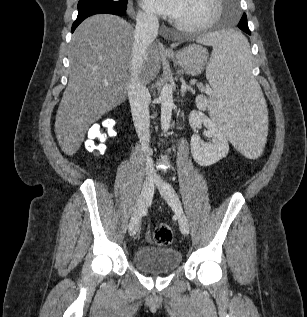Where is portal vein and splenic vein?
<instances>
[{"label": "portal vein and splenic vein", "mask_w": 307, "mask_h": 317, "mask_svg": "<svg viewBox=\"0 0 307 317\" xmlns=\"http://www.w3.org/2000/svg\"><path fill=\"white\" fill-rule=\"evenodd\" d=\"M105 85H107V84H105ZM204 90H205V93H207L209 95L212 94V90L209 87L204 88Z\"/></svg>", "instance_id": "1"}]
</instances>
